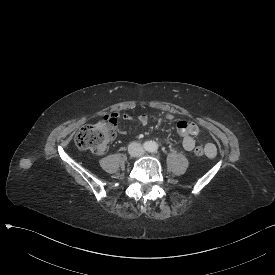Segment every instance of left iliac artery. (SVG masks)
I'll return each instance as SVG.
<instances>
[{"label":"left iliac artery","instance_id":"44dca946","mask_svg":"<svg viewBox=\"0 0 275 275\" xmlns=\"http://www.w3.org/2000/svg\"><path fill=\"white\" fill-rule=\"evenodd\" d=\"M150 151L154 152V153L157 152V144L156 143L152 144V147H151Z\"/></svg>","mask_w":275,"mask_h":275}]
</instances>
